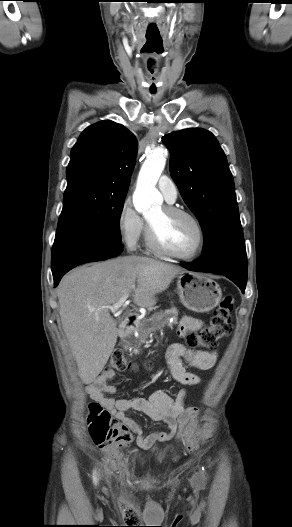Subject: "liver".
I'll return each instance as SVG.
<instances>
[{
  "instance_id": "6515ba94",
  "label": "liver",
  "mask_w": 292,
  "mask_h": 527,
  "mask_svg": "<svg viewBox=\"0 0 292 527\" xmlns=\"http://www.w3.org/2000/svg\"><path fill=\"white\" fill-rule=\"evenodd\" d=\"M183 269L143 256H124L81 266L60 281L62 327L83 383L90 384L106 365L117 342V324L108 307L129 294L141 307H152Z\"/></svg>"
}]
</instances>
